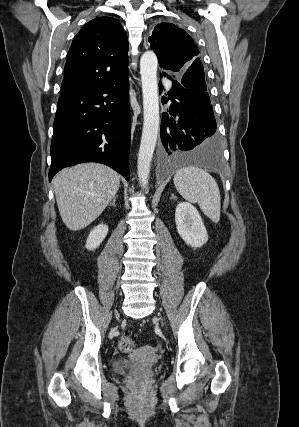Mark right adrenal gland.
Wrapping results in <instances>:
<instances>
[{
    "label": "right adrenal gland",
    "mask_w": 299,
    "mask_h": 427,
    "mask_svg": "<svg viewBox=\"0 0 299 427\" xmlns=\"http://www.w3.org/2000/svg\"><path fill=\"white\" fill-rule=\"evenodd\" d=\"M116 197H117V196H115V197L113 198V201L110 203V205H112V206H116V204H115V202H116Z\"/></svg>",
    "instance_id": "right-adrenal-gland-1"
}]
</instances>
